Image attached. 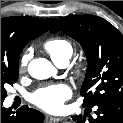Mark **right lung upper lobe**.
Returning a JSON list of instances; mask_svg holds the SVG:
<instances>
[{
	"label": "right lung upper lobe",
	"instance_id": "cb5924a9",
	"mask_svg": "<svg viewBox=\"0 0 123 123\" xmlns=\"http://www.w3.org/2000/svg\"><path fill=\"white\" fill-rule=\"evenodd\" d=\"M55 20L29 16L1 18V62L19 57L25 45L48 31Z\"/></svg>",
	"mask_w": 123,
	"mask_h": 123
}]
</instances>
